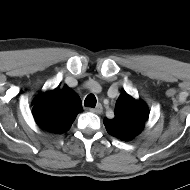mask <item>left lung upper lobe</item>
Segmentation results:
<instances>
[{"mask_svg": "<svg viewBox=\"0 0 190 190\" xmlns=\"http://www.w3.org/2000/svg\"><path fill=\"white\" fill-rule=\"evenodd\" d=\"M115 117L104 118L107 132L121 140H131L141 133L149 117V109L140 100H135L125 91L116 101Z\"/></svg>", "mask_w": 190, "mask_h": 190, "instance_id": "1", "label": "left lung upper lobe"}]
</instances>
